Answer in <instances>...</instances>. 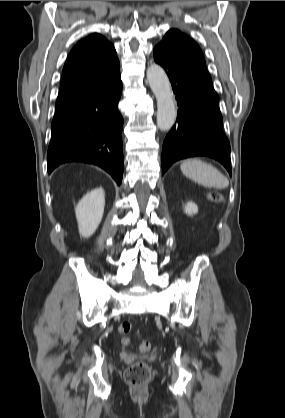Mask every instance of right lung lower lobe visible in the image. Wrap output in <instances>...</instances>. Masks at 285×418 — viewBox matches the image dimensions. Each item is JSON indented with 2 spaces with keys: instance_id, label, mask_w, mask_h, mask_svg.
<instances>
[{
  "instance_id": "98d812e1",
  "label": "right lung lower lobe",
  "mask_w": 285,
  "mask_h": 418,
  "mask_svg": "<svg viewBox=\"0 0 285 418\" xmlns=\"http://www.w3.org/2000/svg\"><path fill=\"white\" fill-rule=\"evenodd\" d=\"M122 93L120 73L78 98L55 108L47 170L67 162L94 164L121 184L124 158L123 117L118 111Z\"/></svg>"
}]
</instances>
